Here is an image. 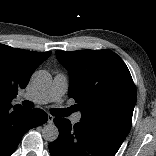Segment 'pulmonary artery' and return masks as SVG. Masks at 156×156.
Segmentation results:
<instances>
[{
  "instance_id": "e3ab8cb5",
  "label": "pulmonary artery",
  "mask_w": 156,
  "mask_h": 156,
  "mask_svg": "<svg viewBox=\"0 0 156 156\" xmlns=\"http://www.w3.org/2000/svg\"><path fill=\"white\" fill-rule=\"evenodd\" d=\"M68 89L67 77L58 73L54 76L51 86L43 91L26 93L24 98L29 99L38 104H46L49 102H60ZM82 117L81 112H77L72 116L73 123H79Z\"/></svg>"
}]
</instances>
